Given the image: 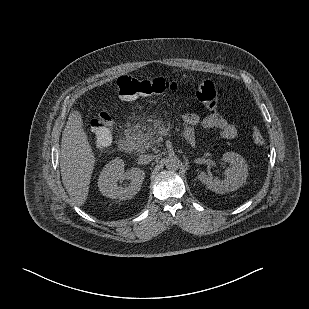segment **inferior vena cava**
<instances>
[{
    "label": "inferior vena cava",
    "mask_w": 309,
    "mask_h": 309,
    "mask_svg": "<svg viewBox=\"0 0 309 309\" xmlns=\"http://www.w3.org/2000/svg\"><path fill=\"white\" fill-rule=\"evenodd\" d=\"M154 159V156L150 154H141L138 157V163L142 165H146L150 163Z\"/></svg>",
    "instance_id": "1"
}]
</instances>
